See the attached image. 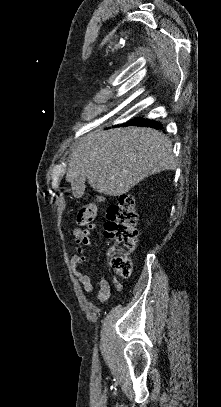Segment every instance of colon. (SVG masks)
<instances>
[{
  "label": "colon",
  "instance_id": "colon-1",
  "mask_svg": "<svg viewBox=\"0 0 221 407\" xmlns=\"http://www.w3.org/2000/svg\"><path fill=\"white\" fill-rule=\"evenodd\" d=\"M100 202L101 197L97 196L79 210L77 223L83 228H76L73 231L75 240L91 237ZM137 221L133 196L121 195L118 202L110 207L104 227L105 235L114 242L108 251L109 264L113 272L121 278H127L131 273V255L137 245Z\"/></svg>",
  "mask_w": 221,
  "mask_h": 407
}]
</instances>
